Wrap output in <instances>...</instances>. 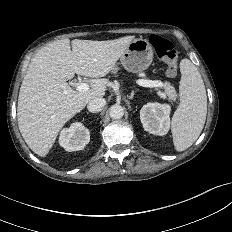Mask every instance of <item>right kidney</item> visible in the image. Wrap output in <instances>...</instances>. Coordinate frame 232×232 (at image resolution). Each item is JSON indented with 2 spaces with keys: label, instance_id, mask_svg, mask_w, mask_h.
Returning a JSON list of instances; mask_svg holds the SVG:
<instances>
[{
  "label": "right kidney",
  "instance_id": "1",
  "mask_svg": "<svg viewBox=\"0 0 232 232\" xmlns=\"http://www.w3.org/2000/svg\"><path fill=\"white\" fill-rule=\"evenodd\" d=\"M89 141V130L79 122L71 124L69 128H64L59 137V144L69 152L84 149Z\"/></svg>",
  "mask_w": 232,
  "mask_h": 232
}]
</instances>
